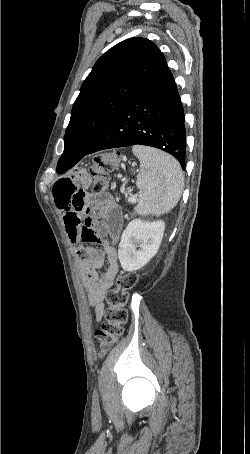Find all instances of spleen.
Here are the masks:
<instances>
[{
    "label": "spleen",
    "instance_id": "spleen-1",
    "mask_svg": "<svg viewBox=\"0 0 250 454\" xmlns=\"http://www.w3.org/2000/svg\"><path fill=\"white\" fill-rule=\"evenodd\" d=\"M132 151L140 161L136 181L140 194L135 212L142 216H160L173 209L184 187V176L178 161L151 147L135 145Z\"/></svg>",
    "mask_w": 250,
    "mask_h": 454
}]
</instances>
